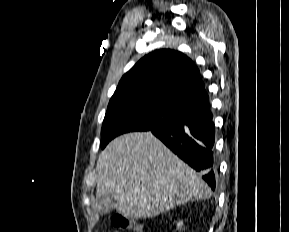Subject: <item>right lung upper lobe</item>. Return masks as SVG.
Instances as JSON below:
<instances>
[{
    "label": "right lung upper lobe",
    "mask_w": 289,
    "mask_h": 232,
    "mask_svg": "<svg viewBox=\"0 0 289 232\" xmlns=\"http://www.w3.org/2000/svg\"><path fill=\"white\" fill-rule=\"evenodd\" d=\"M145 98L181 111L209 98L200 71L181 52L161 49L139 60L120 80L112 98Z\"/></svg>",
    "instance_id": "obj_1"
}]
</instances>
